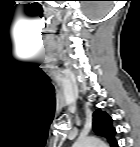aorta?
<instances>
[{
	"label": "aorta",
	"instance_id": "762f6f07",
	"mask_svg": "<svg viewBox=\"0 0 140 147\" xmlns=\"http://www.w3.org/2000/svg\"><path fill=\"white\" fill-rule=\"evenodd\" d=\"M75 147H105L106 144L95 137H87V138H83V139H78L75 143H74Z\"/></svg>",
	"mask_w": 140,
	"mask_h": 147
}]
</instances>
